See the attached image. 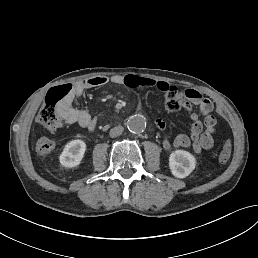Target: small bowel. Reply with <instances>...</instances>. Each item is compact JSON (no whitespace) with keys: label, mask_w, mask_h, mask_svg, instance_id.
Returning a JSON list of instances; mask_svg holds the SVG:
<instances>
[{"label":"small bowel","mask_w":258,"mask_h":258,"mask_svg":"<svg viewBox=\"0 0 258 258\" xmlns=\"http://www.w3.org/2000/svg\"><path fill=\"white\" fill-rule=\"evenodd\" d=\"M123 85L129 88H150L156 87L161 92H166L170 85L165 81H158L152 78L140 77L133 74L128 75H112L97 76L84 79L74 84V96H79L84 91L92 88L103 87L108 84ZM183 108L189 113L192 124L189 134H180L173 141L166 136L163 139L162 145L165 151H170L175 148H192L195 153H200L203 150H210L214 145L213 133L216 129V119L211 114L213 110L212 102L205 98L199 91L187 89L184 92ZM72 98V99H73ZM72 99L67 101L61 108L60 113L66 124H77L82 128H87L94 131L97 121L87 111L77 109L72 105ZM196 109V110H195ZM204 117V122L201 120ZM157 126L164 128V123L157 120ZM54 142L47 138L41 137L36 145L37 154L45 158L54 149Z\"/></svg>","instance_id":"1"}]
</instances>
